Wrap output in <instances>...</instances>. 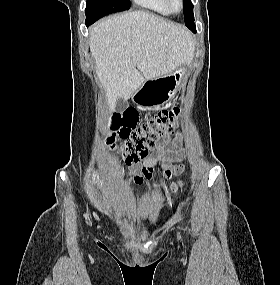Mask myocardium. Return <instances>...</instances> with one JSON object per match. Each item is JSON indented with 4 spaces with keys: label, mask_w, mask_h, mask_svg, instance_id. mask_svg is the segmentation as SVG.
<instances>
[{
    "label": "myocardium",
    "mask_w": 280,
    "mask_h": 285,
    "mask_svg": "<svg viewBox=\"0 0 280 285\" xmlns=\"http://www.w3.org/2000/svg\"><path fill=\"white\" fill-rule=\"evenodd\" d=\"M165 1L167 3V6H168L169 10L171 11V13H174V14L180 13L183 10L184 6H185V1L184 0H177L178 3H179V9L176 10L173 7L174 0H165Z\"/></svg>",
    "instance_id": "obj_1"
}]
</instances>
